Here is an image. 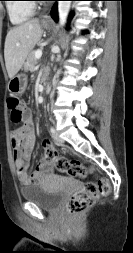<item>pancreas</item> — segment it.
Listing matches in <instances>:
<instances>
[{"mask_svg": "<svg viewBox=\"0 0 133 253\" xmlns=\"http://www.w3.org/2000/svg\"><path fill=\"white\" fill-rule=\"evenodd\" d=\"M36 51H30V53L27 56L26 62L24 64V70L25 71H33L35 68V65L37 64V59L35 57Z\"/></svg>", "mask_w": 133, "mask_h": 253, "instance_id": "1", "label": "pancreas"}]
</instances>
